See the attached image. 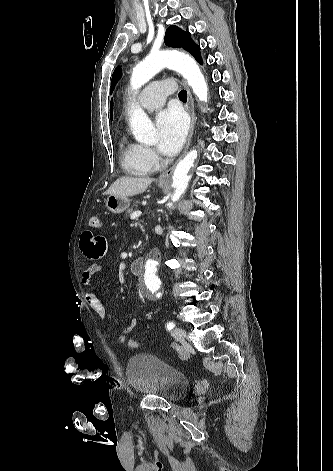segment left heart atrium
<instances>
[{"label": "left heart atrium", "instance_id": "obj_1", "mask_svg": "<svg viewBox=\"0 0 333 471\" xmlns=\"http://www.w3.org/2000/svg\"><path fill=\"white\" fill-rule=\"evenodd\" d=\"M157 148L164 155H174L181 148L187 134L188 121L182 111L169 108L156 118Z\"/></svg>", "mask_w": 333, "mask_h": 471}]
</instances>
